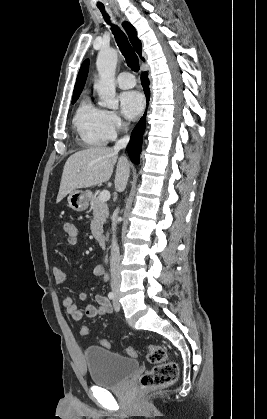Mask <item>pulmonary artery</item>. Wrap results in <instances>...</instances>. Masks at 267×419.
<instances>
[{"instance_id": "1", "label": "pulmonary artery", "mask_w": 267, "mask_h": 419, "mask_svg": "<svg viewBox=\"0 0 267 419\" xmlns=\"http://www.w3.org/2000/svg\"><path fill=\"white\" fill-rule=\"evenodd\" d=\"M116 82H117V85L123 89L132 88L136 84L134 76L129 72L120 73L117 76Z\"/></svg>"}]
</instances>
